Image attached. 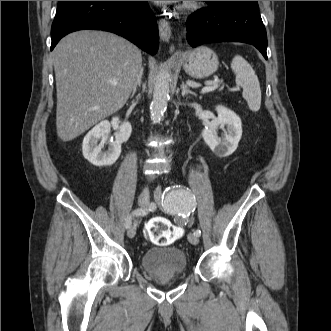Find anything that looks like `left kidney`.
<instances>
[{"instance_id":"left-kidney-1","label":"left kidney","mask_w":331,"mask_h":331,"mask_svg":"<svg viewBox=\"0 0 331 331\" xmlns=\"http://www.w3.org/2000/svg\"><path fill=\"white\" fill-rule=\"evenodd\" d=\"M218 117L211 121L202 131L205 143L219 157L231 155L238 147L242 136L241 119L228 108L216 106ZM226 127V130L224 129ZM221 128L225 131L224 138H219L217 131Z\"/></svg>"}]
</instances>
